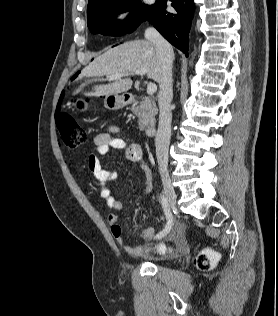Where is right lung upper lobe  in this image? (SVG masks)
Masks as SVG:
<instances>
[{
  "label": "right lung upper lobe",
  "instance_id": "obj_1",
  "mask_svg": "<svg viewBox=\"0 0 278 316\" xmlns=\"http://www.w3.org/2000/svg\"><path fill=\"white\" fill-rule=\"evenodd\" d=\"M108 1V0H88V11L94 8L101 2Z\"/></svg>",
  "mask_w": 278,
  "mask_h": 316
}]
</instances>
